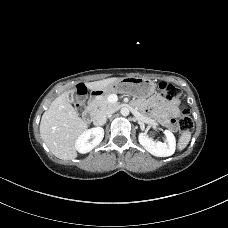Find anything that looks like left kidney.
Instances as JSON below:
<instances>
[{"instance_id": "left-kidney-1", "label": "left kidney", "mask_w": 228, "mask_h": 228, "mask_svg": "<svg viewBox=\"0 0 228 228\" xmlns=\"http://www.w3.org/2000/svg\"><path fill=\"white\" fill-rule=\"evenodd\" d=\"M165 142H155L146 133H140L138 136L139 143L153 156L168 157L174 154L176 149V139L170 130H165Z\"/></svg>"}]
</instances>
